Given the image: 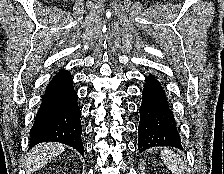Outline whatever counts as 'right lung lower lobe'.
I'll use <instances>...</instances> for the list:
<instances>
[{
	"instance_id": "right-lung-lower-lobe-1",
	"label": "right lung lower lobe",
	"mask_w": 224,
	"mask_h": 174,
	"mask_svg": "<svg viewBox=\"0 0 224 174\" xmlns=\"http://www.w3.org/2000/svg\"><path fill=\"white\" fill-rule=\"evenodd\" d=\"M81 111L68 71L60 70L49 82L30 130L29 148L42 142H60L84 155Z\"/></svg>"
}]
</instances>
